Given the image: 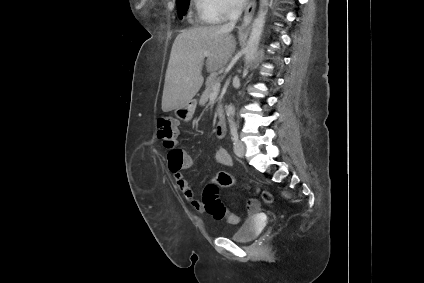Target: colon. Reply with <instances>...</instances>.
Masks as SVG:
<instances>
[{
	"mask_svg": "<svg viewBox=\"0 0 424 283\" xmlns=\"http://www.w3.org/2000/svg\"><path fill=\"white\" fill-rule=\"evenodd\" d=\"M157 135L163 142L164 147L168 150V162L171 172H177L189 166V159L185 151L176 147L178 137L177 120L173 116H162L157 120ZM236 179L227 172H219L214 178L206 184L202 202L205 211L214 219H225L230 224L238 223V216L227 211L218 193L219 188H228L236 185ZM249 209L255 210L257 202L250 200L248 202Z\"/></svg>",
	"mask_w": 424,
	"mask_h": 283,
	"instance_id": "5ec220e1",
	"label": "colon"
}]
</instances>
